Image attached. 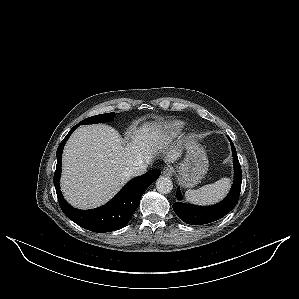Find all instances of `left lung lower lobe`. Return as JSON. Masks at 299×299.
<instances>
[{"label":"left lung lower lobe","mask_w":299,"mask_h":299,"mask_svg":"<svg viewBox=\"0 0 299 299\" xmlns=\"http://www.w3.org/2000/svg\"><path fill=\"white\" fill-rule=\"evenodd\" d=\"M231 141V139H229ZM233 163H234V182L227 197L220 203L212 206H194L176 202L173 210L176 215L185 223L190 225H202L214 222L227 215L237 204L242 182L241 166L237 157L236 149L231 141ZM177 198L182 199L180 189L177 190Z\"/></svg>","instance_id":"left-lung-lower-lobe-1"}]
</instances>
